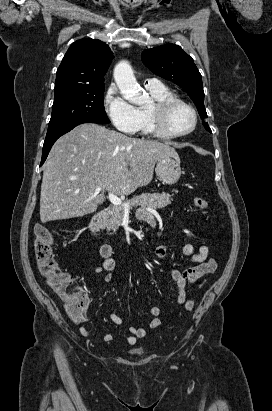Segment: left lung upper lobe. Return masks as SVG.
<instances>
[{
    "label": "left lung upper lobe",
    "mask_w": 272,
    "mask_h": 411,
    "mask_svg": "<svg viewBox=\"0 0 272 411\" xmlns=\"http://www.w3.org/2000/svg\"><path fill=\"white\" fill-rule=\"evenodd\" d=\"M142 61L153 73L174 82L185 90L195 103L202 119L207 117L201 74L191 56L175 44L145 50ZM206 130L211 132L207 123Z\"/></svg>",
    "instance_id": "obj_1"
}]
</instances>
